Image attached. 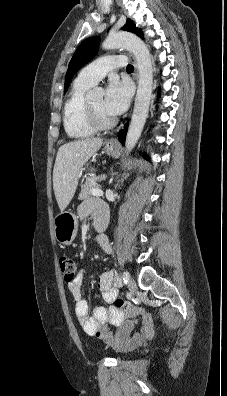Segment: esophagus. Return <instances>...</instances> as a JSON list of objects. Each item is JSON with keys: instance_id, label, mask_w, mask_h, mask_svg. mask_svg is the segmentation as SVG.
Listing matches in <instances>:
<instances>
[{"instance_id": "1", "label": "esophagus", "mask_w": 227, "mask_h": 396, "mask_svg": "<svg viewBox=\"0 0 227 396\" xmlns=\"http://www.w3.org/2000/svg\"><path fill=\"white\" fill-rule=\"evenodd\" d=\"M129 59L131 60V62L133 63L134 66V79L137 82L138 81V67H137V62L136 59L134 58V56L132 54H129ZM117 141L115 138H111L110 140H108V144H116Z\"/></svg>"}]
</instances>
